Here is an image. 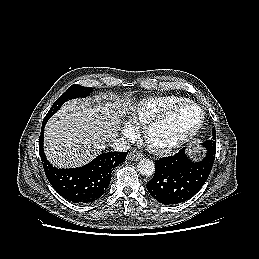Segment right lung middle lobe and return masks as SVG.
Here are the masks:
<instances>
[{
    "instance_id": "right-lung-middle-lobe-1",
    "label": "right lung middle lobe",
    "mask_w": 259,
    "mask_h": 259,
    "mask_svg": "<svg viewBox=\"0 0 259 259\" xmlns=\"http://www.w3.org/2000/svg\"><path fill=\"white\" fill-rule=\"evenodd\" d=\"M92 90H93V88H91V87H84V86L75 85V84L70 86L67 89V91L60 98H58L55 101V103L53 104V106L51 107V109L49 110L47 115L45 116V118H50L54 113H56L59 110V108L67 100L77 98V97L85 98L88 95H90Z\"/></svg>"
}]
</instances>
